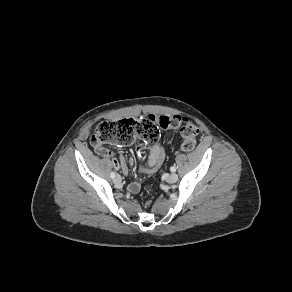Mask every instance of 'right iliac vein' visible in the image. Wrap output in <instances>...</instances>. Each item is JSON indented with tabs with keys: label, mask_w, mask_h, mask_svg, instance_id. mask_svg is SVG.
<instances>
[{
	"label": "right iliac vein",
	"mask_w": 292,
	"mask_h": 292,
	"mask_svg": "<svg viewBox=\"0 0 292 292\" xmlns=\"http://www.w3.org/2000/svg\"><path fill=\"white\" fill-rule=\"evenodd\" d=\"M113 181H114L115 185H117L119 187L122 185V178L119 175H117Z\"/></svg>",
	"instance_id": "1"
}]
</instances>
